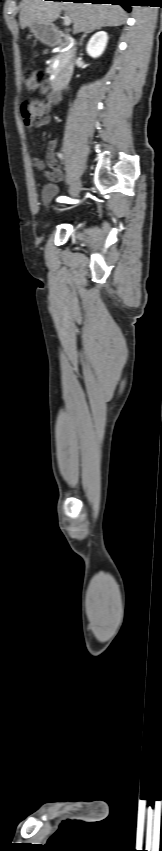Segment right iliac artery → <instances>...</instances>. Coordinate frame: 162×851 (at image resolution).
<instances>
[{
  "instance_id": "1",
  "label": "right iliac artery",
  "mask_w": 162,
  "mask_h": 851,
  "mask_svg": "<svg viewBox=\"0 0 162 851\" xmlns=\"http://www.w3.org/2000/svg\"><path fill=\"white\" fill-rule=\"evenodd\" d=\"M57 201H58V202H63V203H70V204H75V203H77V202H78V200H73V199H70L69 197H66V196H61V197H59V198L57 199Z\"/></svg>"
}]
</instances>
